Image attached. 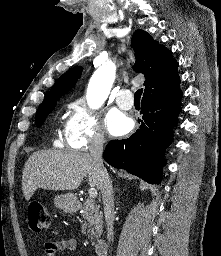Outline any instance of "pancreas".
Masks as SVG:
<instances>
[{"label": "pancreas", "instance_id": "1", "mask_svg": "<svg viewBox=\"0 0 221 256\" xmlns=\"http://www.w3.org/2000/svg\"><path fill=\"white\" fill-rule=\"evenodd\" d=\"M81 215L83 217L82 232L85 233L88 228V234L91 239L102 232L103 214L93 199H87L83 205Z\"/></svg>", "mask_w": 221, "mask_h": 256}]
</instances>
